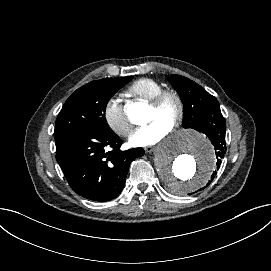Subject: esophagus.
<instances>
[{
    "mask_svg": "<svg viewBox=\"0 0 271 271\" xmlns=\"http://www.w3.org/2000/svg\"><path fill=\"white\" fill-rule=\"evenodd\" d=\"M155 149H156V147H155L154 145L146 146V147L144 148V150H145L146 153H151V152H153Z\"/></svg>",
    "mask_w": 271,
    "mask_h": 271,
    "instance_id": "1",
    "label": "esophagus"
}]
</instances>
